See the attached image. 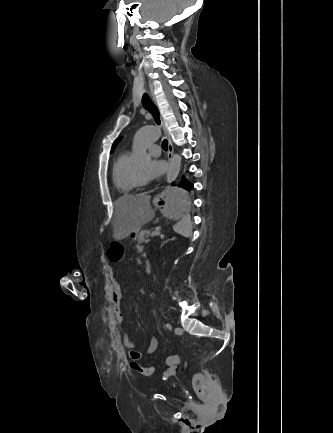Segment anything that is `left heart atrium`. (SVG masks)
I'll use <instances>...</instances> for the list:
<instances>
[{"label": "left heart atrium", "instance_id": "left-heart-atrium-1", "mask_svg": "<svg viewBox=\"0 0 333 433\" xmlns=\"http://www.w3.org/2000/svg\"><path fill=\"white\" fill-rule=\"evenodd\" d=\"M165 169H166V164L164 161L158 158L152 159L148 163L144 171L145 181H150L155 178H158L164 173Z\"/></svg>", "mask_w": 333, "mask_h": 433}]
</instances>
